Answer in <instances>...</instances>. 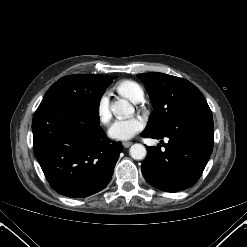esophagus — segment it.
I'll use <instances>...</instances> for the list:
<instances>
[{"mask_svg": "<svg viewBox=\"0 0 247 247\" xmlns=\"http://www.w3.org/2000/svg\"><path fill=\"white\" fill-rule=\"evenodd\" d=\"M122 144H123V146H124L125 148H128V147H130V146L132 145V142L125 141V142H123Z\"/></svg>", "mask_w": 247, "mask_h": 247, "instance_id": "obj_1", "label": "esophagus"}]
</instances>
